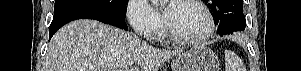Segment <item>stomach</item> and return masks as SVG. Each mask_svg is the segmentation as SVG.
I'll list each match as a JSON object with an SVG mask.
<instances>
[{"instance_id":"1","label":"stomach","mask_w":301,"mask_h":71,"mask_svg":"<svg viewBox=\"0 0 301 71\" xmlns=\"http://www.w3.org/2000/svg\"><path fill=\"white\" fill-rule=\"evenodd\" d=\"M172 71H220L218 58L207 47H196L179 55L171 63Z\"/></svg>"}]
</instances>
